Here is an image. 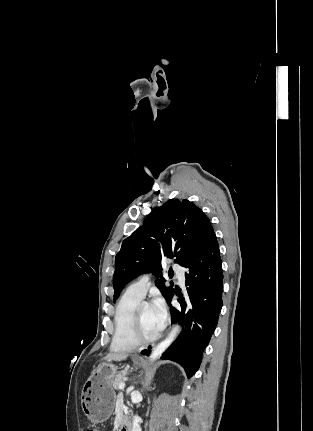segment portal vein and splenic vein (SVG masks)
Masks as SVG:
<instances>
[{
  "mask_svg": "<svg viewBox=\"0 0 313 431\" xmlns=\"http://www.w3.org/2000/svg\"><path fill=\"white\" fill-rule=\"evenodd\" d=\"M124 388H125V384H124V383H120V384H119V389H121V390H122V389H124ZM121 394H122V393H121Z\"/></svg>",
  "mask_w": 313,
  "mask_h": 431,
  "instance_id": "1",
  "label": "portal vein and splenic vein"
}]
</instances>
